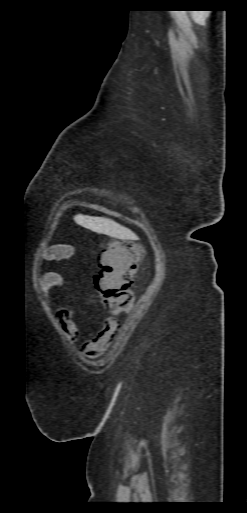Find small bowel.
<instances>
[{
    "instance_id": "obj_1",
    "label": "small bowel",
    "mask_w": 247,
    "mask_h": 513,
    "mask_svg": "<svg viewBox=\"0 0 247 513\" xmlns=\"http://www.w3.org/2000/svg\"><path fill=\"white\" fill-rule=\"evenodd\" d=\"M69 247L66 245L50 248L47 258L44 261H57L68 257ZM64 281L62 275L55 271H47L41 274L39 288L44 299L49 302L50 292L53 288H63ZM60 322L66 337L69 340H75L79 330L72 318V312L69 308L59 310ZM119 328V323L114 318H108L99 332L93 339L84 345V351L87 356H97L104 353L115 339Z\"/></svg>"
}]
</instances>
